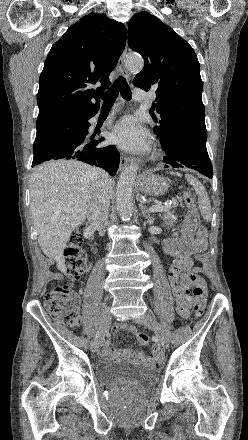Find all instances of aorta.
I'll list each match as a JSON object with an SVG mask.
<instances>
[{
  "label": "aorta",
  "mask_w": 248,
  "mask_h": 440,
  "mask_svg": "<svg viewBox=\"0 0 248 440\" xmlns=\"http://www.w3.org/2000/svg\"><path fill=\"white\" fill-rule=\"evenodd\" d=\"M144 61L141 57L130 56L126 60V67L133 72L143 69ZM138 166L136 163L128 165L120 174L116 187V208L121 219L130 221L133 213L132 190L137 176Z\"/></svg>",
  "instance_id": "1"
}]
</instances>
